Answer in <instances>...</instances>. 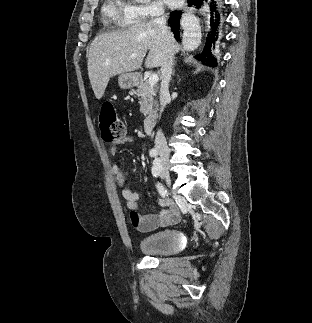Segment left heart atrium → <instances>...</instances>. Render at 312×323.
<instances>
[{
    "label": "left heart atrium",
    "instance_id": "39dd6f15",
    "mask_svg": "<svg viewBox=\"0 0 312 323\" xmlns=\"http://www.w3.org/2000/svg\"><path fill=\"white\" fill-rule=\"evenodd\" d=\"M166 8H177L178 4L182 3V0H163Z\"/></svg>",
    "mask_w": 312,
    "mask_h": 323
}]
</instances>
